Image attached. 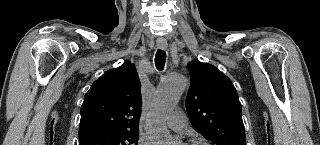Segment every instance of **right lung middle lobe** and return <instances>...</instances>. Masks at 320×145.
<instances>
[{
  "instance_id": "1",
  "label": "right lung middle lobe",
  "mask_w": 320,
  "mask_h": 145,
  "mask_svg": "<svg viewBox=\"0 0 320 145\" xmlns=\"http://www.w3.org/2000/svg\"><path fill=\"white\" fill-rule=\"evenodd\" d=\"M139 131H101L79 136V145H137Z\"/></svg>"
}]
</instances>
